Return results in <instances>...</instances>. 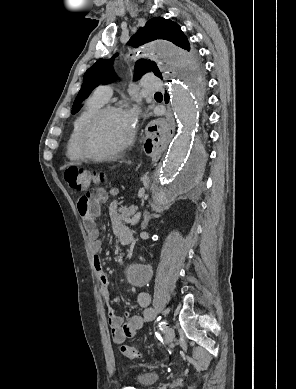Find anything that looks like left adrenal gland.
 I'll list each match as a JSON object with an SVG mask.
<instances>
[{"mask_svg": "<svg viewBox=\"0 0 296 389\" xmlns=\"http://www.w3.org/2000/svg\"><path fill=\"white\" fill-rule=\"evenodd\" d=\"M152 217H153V216L150 215V213H149L148 211H145V212L143 213V222H142V224H141V229H142V230H144V229L147 228L148 223H149V221L151 220Z\"/></svg>", "mask_w": 296, "mask_h": 389, "instance_id": "left-adrenal-gland-1", "label": "left adrenal gland"}]
</instances>
